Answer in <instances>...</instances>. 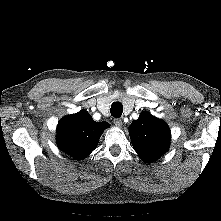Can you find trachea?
Returning <instances> with one entry per match:
<instances>
[{
    "mask_svg": "<svg viewBox=\"0 0 221 221\" xmlns=\"http://www.w3.org/2000/svg\"><path fill=\"white\" fill-rule=\"evenodd\" d=\"M110 111L113 117L119 118L123 112V105L120 102H113Z\"/></svg>",
    "mask_w": 221,
    "mask_h": 221,
    "instance_id": "obj_1",
    "label": "trachea"
}]
</instances>
